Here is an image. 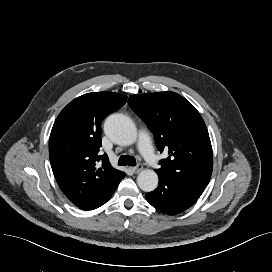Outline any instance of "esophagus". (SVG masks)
<instances>
[{"instance_id": "1", "label": "esophagus", "mask_w": 272, "mask_h": 272, "mask_svg": "<svg viewBox=\"0 0 272 272\" xmlns=\"http://www.w3.org/2000/svg\"><path fill=\"white\" fill-rule=\"evenodd\" d=\"M143 169V166L141 164L135 166V167H131V170L133 171V173L138 174L139 172H141Z\"/></svg>"}]
</instances>
